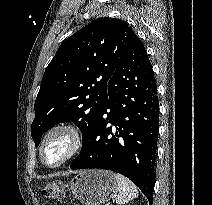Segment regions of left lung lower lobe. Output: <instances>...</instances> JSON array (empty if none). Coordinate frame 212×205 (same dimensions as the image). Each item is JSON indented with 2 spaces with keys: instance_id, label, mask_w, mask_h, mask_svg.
<instances>
[{
  "instance_id": "obj_1",
  "label": "left lung lower lobe",
  "mask_w": 212,
  "mask_h": 205,
  "mask_svg": "<svg viewBox=\"0 0 212 205\" xmlns=\"http://www.w3.org/2000/svg\"><path fill=\"white\" fill-rule=\"evenodd\" d=\"M159 130L157 85L150 60L135 34L108 81V100L71 169L120 173L153 202Z\"/></svg>"
}]
</instances>
